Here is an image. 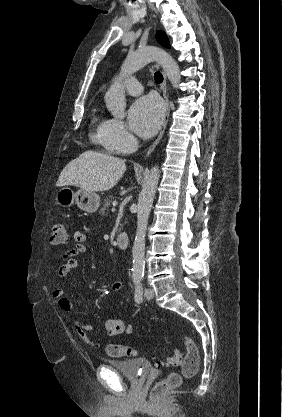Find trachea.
Wrapping results in <instances>:
<instances>
[{
	"label": "trachea",
	"instance_id": "trachea-1",
	"mask_svg": "<svg viewBox=\"0 0 282 417\" xmlns=\"http://www.w3.org/2000/svg\"><path fill=\"white\" fill-rule=\"evenodd\" d=\"M154 80L156 83H162L163 82V75L160 72H156L154 74Z\"/></svg>",
	"mask_w": 282,
	"mask_h": 417
}]
</instances>
